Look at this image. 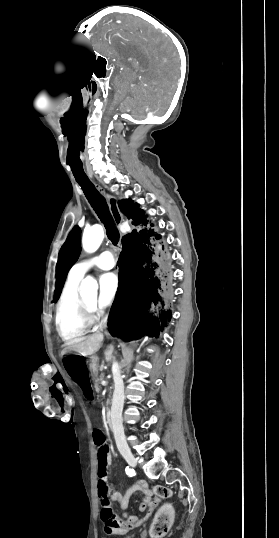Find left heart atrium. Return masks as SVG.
Instances as JSON below:
<instances>
[{
  "mask_svg": "<svg viewBox=\"0 0 279 538\" xmlns=\"http://www.w3.org/2000/svg\"><path fill=\"white\" fill-rule=\"evenodd\" d=\"M120 279L116 272L105 273L100 278V287H101V301L103 303H110L118 289H119Z\"/></svg>",
  "mask_w": 279,
  "mask_h": 538,
  "instance_id": "left-heart-atrium-1",
  "label": "left heart atrium"
}]
</instances>
